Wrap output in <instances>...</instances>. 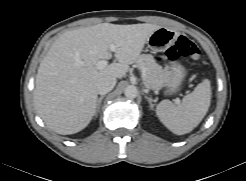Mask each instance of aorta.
I'll list each match as a JSON object with an SVG mask.
<instances>
[{"mask_svg": "<svg viewBox=\"0 0 246 181\" xmlns=\"http://www.w3.org/2000/svg\"><path fill=\"white\" fill-rule=\"evenodd\" d=\"M124 95L129 99H134L138 95V90L135 86L129 85L124 89Z\"/></svg>", "mask_w": 246, "mask_h": 181, "instance_id": "obj_1", "label": "aorta"}]
</instances>
